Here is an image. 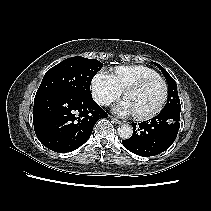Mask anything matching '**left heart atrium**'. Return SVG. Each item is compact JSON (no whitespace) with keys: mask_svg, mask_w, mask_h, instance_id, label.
Segmentation results:
<instances>
[{"mask_svg":"<svg viewBox=\"0 0 211 211\" xmlns=\"http://www.w3.org/2000/svg\"><path fill=\"white\" fill-rule=\"evenodd\" d=\"M114 112L120 116L134 114L133 108L127 99L120 101L114 108Z\"/></svg>","mask_w":211,"mask_h":211,"instance_id":"1","label":"left heart atrium"}]
</instances>
